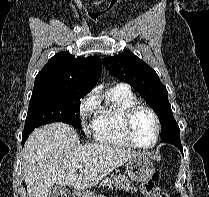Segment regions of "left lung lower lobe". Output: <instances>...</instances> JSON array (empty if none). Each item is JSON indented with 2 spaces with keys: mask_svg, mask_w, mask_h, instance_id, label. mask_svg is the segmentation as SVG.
I'll return each instance as SVG.
<instances>
[{
  "mask_svg": "<svg viewBox=\"0 0 209 197\" xmlns=\"http://www.w3.org/2000/svg\"><path fill=\"white\" fill-rule=\"evenodd\" d=\"M170 144H173L174 146H176L183 154V147L181 145L180 141H173V142H169Z\"/></svg>",
  "mask_w": 209,
  "mask_h": 197,
  "instance_id": "0a47b994",
  "label": "left lung lower lobe"
}]
</instances>
